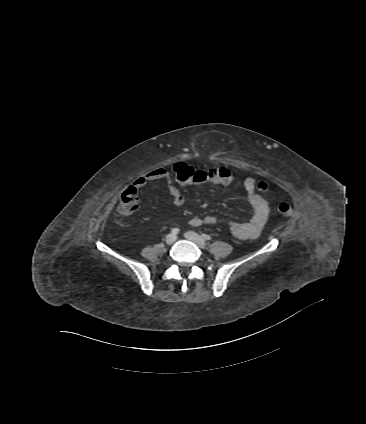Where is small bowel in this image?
<instances>
[{"instance_id":"c3829d8e","label":"small bowel","mask_w":366,"mask_h":424,"mask_svg":"<svg viewBox=\"0 0 366 424\" xmlns=\"http://www.w3.org/2000/svg\"><path fill=\"white\" fill-rule=\"evenodd\" d=\"M220 172L223 170L230 171L227 167H219ZM219 172V173H220ZM164 179L167 183V187L173 203L177 206H182L187 203V197L178 189L173 182L170 173L163 169H155L141 177L135 182L136 188L143 187L147 182ZM215 184H227L219 180V174L211 182ZM243 186L246 192V199L252 208L253 214L247 222H227V225L232 235L239 240H247L256 238L262 231L266 224L269 216V204L268 201L256 192V180L253 177H247L243 181ZM218 219L214 216L194 217L190 221V226L199 227L204 224H215Z\"/></svg>"}]
</instances>
